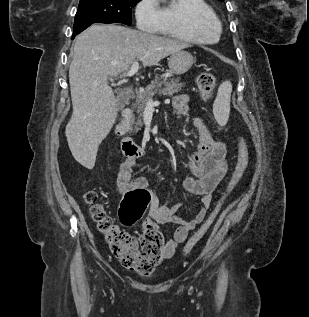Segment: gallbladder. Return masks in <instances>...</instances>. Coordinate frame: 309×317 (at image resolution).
<instances>
[{
    "label": "gallbladder",
    "mask_w": 309,
    "mask_h": 317,
    "mask_svg": "<svg viewBox=\"0 0 309 317\" xmlns=\"http://www.w3.org/2000/svg\"><path fill=\"white\" fill-rule=\"evenodd\" d=\"M116 100L118 109H122L128 103V96L118 93Z\"/></svg>",
    "instance_id": "1"
}]
</instances>
